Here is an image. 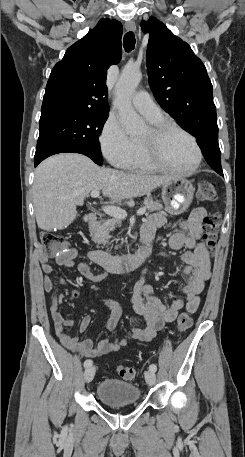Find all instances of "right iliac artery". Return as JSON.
Returning <instances> with one entry per match:
<instances>
[{
  "label": "right iliac artery",
  "mask_w": 245,
  "mask_h": 457,
  "mask_svg": "<svg viewBox=\"0 0 245 457\" xmlns=\"http://www.w3.org/2000/svg\"><path fill=\"white\" fill-rule=\"evenodd\" d=\"M92 364H93L92 360H91V359H87V360H85V362H84V367H85V368H88V367H90Z\"/></svg>",
  "instance_id": "right-iliac-artery-1"
}]
</instances>
